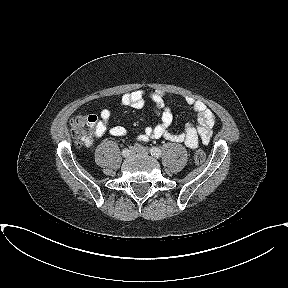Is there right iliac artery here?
Masks as SVG:
<instances>
[{
  "instance_id": "82829eb1",
  "label": "right iliac artery",
  "mask_w": 288,
  "mask_h": 288,
  "mask_svg": "<svg viewBox=\"0 0 288 288\" xmlns=\"http://www.w3.org/2000/svg\"><path fill=\"white\" fill-rule=\"evenodd\" d=\"M121 155L122 156H127L128 155V150L127 149H122L121 150Z\"/></svg>"
}]
</instances>
